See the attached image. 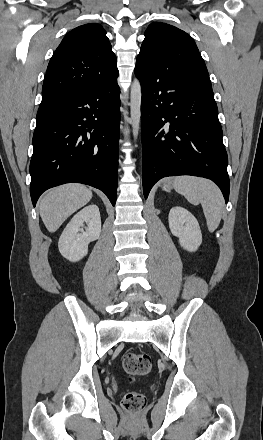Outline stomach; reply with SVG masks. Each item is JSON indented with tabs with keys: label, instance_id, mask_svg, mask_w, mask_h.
<instances>
[{
	"label": "stomach",
	"instance_id": "1",
	"mask_svg": "<svg viewBox=\"0 0 263 440\" xmlns=\"http://www.w3.org/2000/svg\"><path fill=\"white\" fill-rule=\"evenodd\" d=\"M173 187V181L172 180H166L162 183V188L165 191H170Z\"/></svg>",
	"mask_w": 263,
	"mask_h": 440
}]
</instances>
